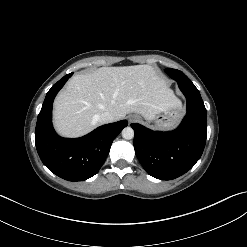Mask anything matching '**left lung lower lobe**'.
I'll return each mask as SVG.
<instances>
[{
  "label": "left lung lower lobe",
  "instance_id": "1",
  "mask_svg": "<svg viewBox=\"0 0 247 247\" xmlns=\"http://www.w3.org/2000/svg\"><path fill=\"white\" fill-rule=\"evenodd\" d=\"M187 99V114L171 132H154L133 123L135 153L145 171L161 180L175 179L190 170L205 147L207 113L198 89L188 78L177 77Z\"/></svg>",
  "mask_w": 247,
  "mask_h": 247
}]
</instances>
